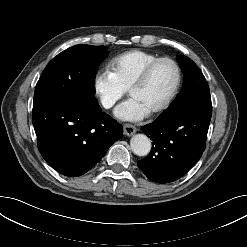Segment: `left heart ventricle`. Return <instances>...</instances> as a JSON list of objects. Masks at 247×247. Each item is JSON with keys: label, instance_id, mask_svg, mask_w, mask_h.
<instances>
[{"label": "left heart ventricle", "instance_id": "obj_1", "mask_svg": "<svg viewBox=\"0 0 247 247\" xmlns=\"http://www.w3.org/2000/svg\"><path fill=\"white\" fill-rule=\"evenodd\" d=\"M174 81V67L168 62H162L153 69L146 83L132 91L130 96L151 110L165 99Z\"/></svg>", "mask_w": 247, "mask_h": 247}]
</instances>
